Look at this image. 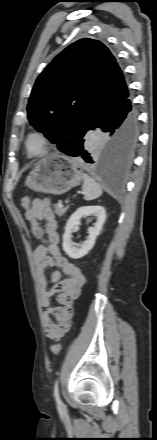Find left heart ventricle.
Wrapping results in <instances>:
<instances>
[{"label":"left heart ventricle","instance_id":"b2bd125f","mask_svg":"<svg viewBox=\"0 0 157 440\" xmlns=\"http://www.w3.org/2000/svg\"><path fill=\"white\" fill-rule=\"evenodd\" d=\"M43 145L37 138H32L29 142V149L32 153H38L42 150Z\"/></svg>","mask_w":157,"mask_h":440}]
</instances>
